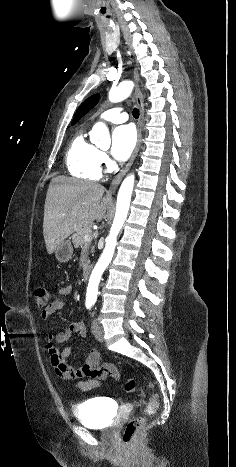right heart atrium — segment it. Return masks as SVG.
I'll use <instances>...</instances> for the list:
<instances>
[{"mask_svg":"<svg viewBox=\"0 0 236 467\" xmlns=\"http://www.w3.org/2000/svg\"><path fill=\"white\" fill-rule=\"evenodd\" d=\"M99 164L100 166H103V167H110L111 166V162H110V159L109 157L107 156L106 153L104 152H99Z\"/></svg>","mask_w":236,"mask_h":467,"instance_id":"d8ad5b80","label":"right heart atrium"}]
</instances>
